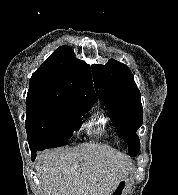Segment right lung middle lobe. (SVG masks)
Masks as SVG:
<instances>
[{
	"label": "right lung middle lobe",
	"instance_id": "1",
	"mask_svg": "<svg viewBox=\"0 0 178 195\" xmlns=\"http://www.w3.org/2000/svg\"><path fill=\"white\" fill-rule=\"evenodd\" d=\"M92 106L86 102L27 100L25 123L31 153L64 145L80 129L82 115Z\"/></svg>",
	"mask_w": 178,
	"mask_h": 195
}]
</instances>
